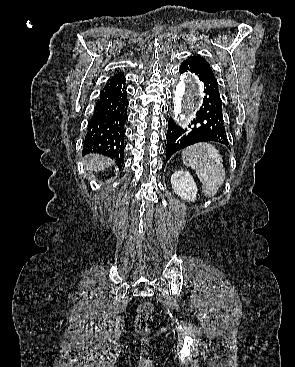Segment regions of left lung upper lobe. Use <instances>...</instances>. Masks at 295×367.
Returning a JSON list of instances; mask_svg holds the SVG:
<instances>
[{
    "mask_svg": "<svg viewBox=\"0 0 295 367\" xmlns=\"http://www.w3.org/2000/svg\"><path fill=\"white\" fill-rule=\"evenodd\" d=\"M189 58L196 59L199 62H202V63H205V64L209 65V63L205 60V58L201 57L200 55H194V56L189 57Z\"/></svg>",
    "mask_w": 295,
    "mask_h": 367,
    "instance_id": "5c2ea615",
    "label": "left lung upper lobe"
}]
</instances>
